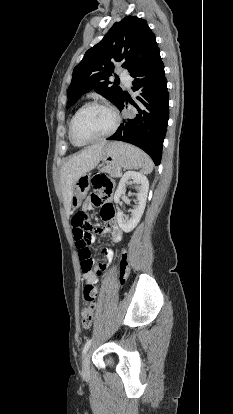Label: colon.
Instances as JSON below:
<instances>
[{
  "mask_svg": "<svg viewBox=\"0 0 233 414\" xmlns=\"http://www.w3.org/2000/svg\"><path fill=\"white\" fill-rule=\"evenodd\" d=\"M92 185L94 189L102 192L104 195H110L113 191V181L103 174H97L92 178ZM101 212L107 214L109 212V205L104 204ZM72 224L76 230L75 240L78 248L79 259L81 262V269L84 272L90 271L93 268V258L89 249L92 240L91 227L87 219V215L83 211H77L72 217ZM102 274L103 270H99ZM129 273V263L126 253H123L120 261V276L121 284H124ZM84 307L82 308V325L85 328L91 327L95 314V298L96 290L93 285L87 284L83 289Z\"/></svg>",
  "mask_w": 233,
  "mask_h": 414,
  "instance_id": "1",
  "label": "colon"
}]
</instances>
